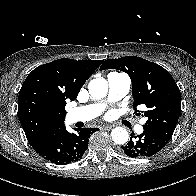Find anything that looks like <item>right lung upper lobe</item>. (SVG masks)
<instances>
[{
	"instance_id": "obj_1",
	"label": "right lung upper lobe",
	"mask_w": 196,
	"mask_h": 196,
	"mask_svg": "<svg viewBox=\"0 0 196 196\" xmlns=\"http://www.w3.org/2000/svg\"><path fill=\"white\" fill-rule=\"evenodd\" d=\"M102 60L58 59L34 69L18 98V117L32 145L64 126L67 100H75Z\"/></svg>"
}]
</instances>
